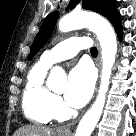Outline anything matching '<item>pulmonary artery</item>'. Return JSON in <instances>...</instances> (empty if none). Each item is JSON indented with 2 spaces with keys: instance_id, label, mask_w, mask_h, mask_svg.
Segmentation results:
<instances>
[{
  "instance_id": "pulmonary-artery-1",
  "label": "pulmonary artery",
  "mask_w": 136,
  "mask_h": 136,
  "mask_svg": "<svg viewBox=\"0 0 136 136\" xmlns=\"http://www.w3.org/2000/svg\"><path fill=\"white\" fill-rule=\"evenodd\" d=\"M91 46V41L86 37H71L66 39L52 49L45 51L41 56V61L51 66L60 61L69 59L78 54L82 49H87Z\"/></svg>"
}]
</instances>
